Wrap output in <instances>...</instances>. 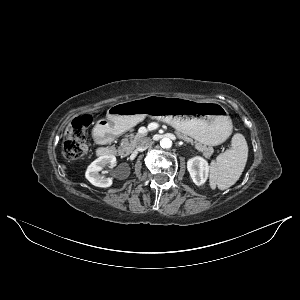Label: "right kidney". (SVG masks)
<instances>
[{"label": "right kidney", "instance_id": "1", "mask_svg": "<svg viewBox=\"0 0 300 300\" xmlns=\"http://www.w3.org/2000/svg\"><path fill=\"white\" fill-rule=\"evenodd\" d=\"M116 162V157L114 155H103L93 161L86 170V179L94 186L97 187H110L113 184V178L103 177L99 174L105 165H113Z\"/></svg>", "mask_w": 300, "mask_h": 300}]
</instances>
